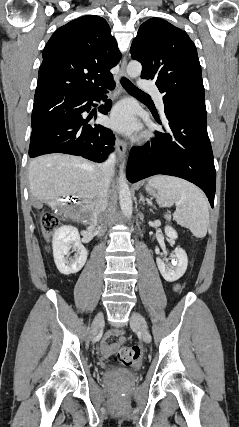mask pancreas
<instances>
[{"label":"pancreas","instance_id":"obj_1","mask_svg":"<svg viewBox=\"0 0 239 427\" xmlns=\"http://www.w3.org/2000/svg\"><path fill=\"white\" fill-rule=\"evenodd\" d=\"M165 218H166L167 220H170V216H166Z\"/></svg>","mask_w":239,"mask_h":427}]
</instances>
